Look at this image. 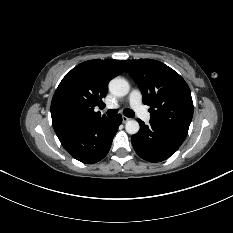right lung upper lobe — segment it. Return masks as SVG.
<instances>
[{"mask_svg":"<svg viewBox=\"0 0 233 233\" xmlns=\"http://www.w3.org/2000/svg\"><path fill=\"white\" fill-rule=\"evenodd\" d=\"M122 71L118 60H89L68 72L51 102L55 132L106 117L94 108L104 104L102 99L108 92L109 80Z\"/></svg>","mask_w":233,"mask_h":233,"instance_id":"obj_1","label":"right lung upper lobe"}]
</instances>
